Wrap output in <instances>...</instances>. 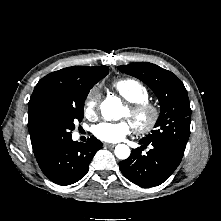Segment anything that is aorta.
Returning a JSON list of instances; mask_svg holds the SVG:
<instances>
[{
    "label": "aorta",
    "instance_id": "762f6f07",
    "mask_svg": "<svg viewBox=\"0 0 221 221\" xmlns=\"http://www.w3.org/2000/svg\"><path fill=\"white\" fill-rule=\"evenodd\" d=\"M102 116L110 121L117 120L121 117L123 110L122 102L119 98L110 96L107 97L100 106ZM115 155L118 159L125 160L130 156V148L125 144H118L115 147Z\"/></svg>",
    "mask_w": 221,
    "mask_h": 221
}]
</instances>
